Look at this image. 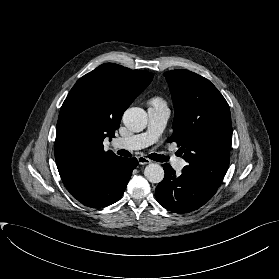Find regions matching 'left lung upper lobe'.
<instances>
[{
	"mask_svg": "<svg viewBox=\"0 0 279 279\" xmlns=\"http://www.w3.org/2000/svg\"><path fill=\"white\" fill-rule=\"evenodd\" d=\"M175 116L170 142L188 163L183 172L220 186L229 166L232 125L229 105L206 78L188 70L164 73Z\"/></svg>",
	"mask_w": 279,
	"mask_h": 279,
	"instance_id": "obj_1",
	"label": "left lung upper lobe"
}]
</instances>
